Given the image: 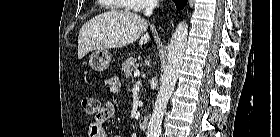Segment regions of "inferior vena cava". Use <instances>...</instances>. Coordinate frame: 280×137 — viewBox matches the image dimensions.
<instances>
[{
	"instance_id": "inferior-vena-cava-1",
	"label": "inferior vena cava",
	"mask_w": 280,
	"mask_h": 137,
	"mask_svg": "<svg viewBox=\"0 0 280 137\" xmlns=\"http://www.w3.org/2000/svg\"><path fill=\"white\" fill-rule=\"evenodd\" d=\"M157 3H158L157 0H147L144 15L145 16H150L152 14L154 8L157 6Z\"/></svg>"
}]
</instances>
